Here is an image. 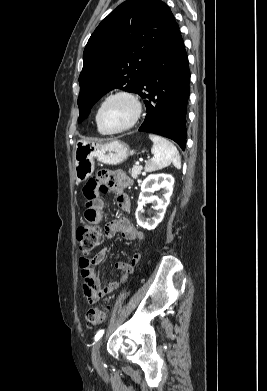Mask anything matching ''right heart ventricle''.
Returning <instances> with one entry per match:
<instances>
[{
  "label": "right heart ventricle",
  "mask_w": 267,
  "mask_h": 391,
  "mask_svg": "<svg viewBox=\"0 0 267 391\" xmlns=\"http://www.w3.org/2000/svg\"><path fill=\"white\" fill-rule=\"evenodd\" d=\"M97 131H98L100 134H106V133H104V132L98 127V125H97Z\"/></svg>",
  "instance_id": "e07e8e85"
}]
</instances>
